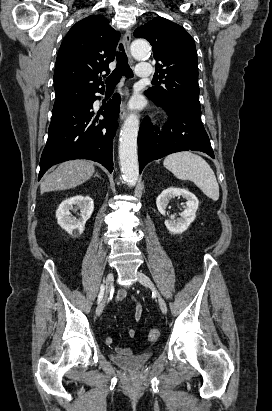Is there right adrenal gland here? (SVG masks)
Here are the masks:
<instances>
[{
  "label": "right adrenal gland",
  "mask_w": 272,
  "mask_h": 411,
  "mask_svg": "<svg viewBox=\"0 0 272 411\" xmlns=\"http://www.w3.org/2000/svg\"><path fill=\"white\" fill-rule=\"evenodd\" d=\"M95 176H97V177L101 178V177L98 175V173H97Z\"/></svg>",
  "instance_id": "2a0ac1e0"
}]
</instances>
